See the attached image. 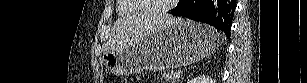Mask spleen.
I'll return each instance as SVG.
<instances>
[{
  "mask_svg": "<svg viewBox=\"0 0 307 83\" xmlns=\"http://www.w3.org/2000/svg\"><path fill=\"white\" fill-rule=\"evenodd\" d=\"M219 38L220 40H223V36L221 34H219Z\"/></svg>",
  "mask_w": 307,
  "mask_h": 83,
  "instance_id": "1",
  "label": "spleen"
}]
</instances>
